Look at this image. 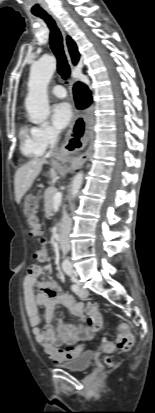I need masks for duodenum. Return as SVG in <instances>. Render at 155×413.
Listing matches in <instances>:
<instances>
[{
  "mask_svg": "<svg viewBox=\"0 0 155 413\" xmlns=\"http://www.w3.org/2000/svg\"><path fill=\"white\" fill-rule=\"evenodd\" d=\"M55 241L57 245L60 246V243H61V227L60 226L58 227V230L55 236Z\"/></svg>",
  "mask_w": 155,
  "mask_h": 413,
  "instance_id": "1",
  "label": "duodenum"
}]
</instances>
